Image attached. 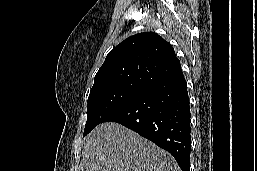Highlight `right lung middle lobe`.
I'll return each instance as SVG.
<instances>
[{
	"mask_svg": "<svg viewBox=\"0 0 257 171\" xmlns=\"http://www.w3.org/2000/svg\"><path fill=\"white\" fill-rule=\"evenodd\" d=\"M146 88L144 84L134 83L110 84L91 89L83 136Z\"/></svg>",
	"mask_w": 257,
	"mask_h": 171,
	"instance_id": "right-lung-middle-lobe-1",
	"label": "right lung middle lobe"
}]
</instances>
